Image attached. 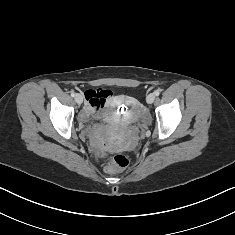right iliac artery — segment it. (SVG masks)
<instances>
[{"label":"right iliac artery","instance_id":"right-iliac-artery-1","mask_svg":"<svg viewBox=\"0 0 235 235\" xmlns=\"http://www.w3.org/2000/svg\"><path fill=\"white\" fill-rule=\"evenodd\" d=\"M75 95H76L75 92H74V91H71V96H72V97H75Z\"/></svg>","mask_w":235,"mask_h":235}]
</instances>
